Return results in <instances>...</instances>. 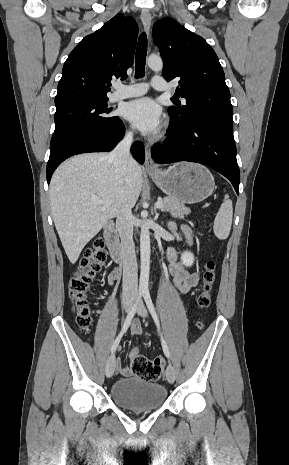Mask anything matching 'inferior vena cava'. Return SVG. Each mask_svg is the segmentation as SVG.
I'll return each instance as SVG.
<instances>
[{"instance_id": "602c4592", "label": "inferior vena cava", "mask_w": 289, "mask_h": 465, "mask_svg": "<svg viewBox=\"0 0 289 465\" xmlns=\"http://www.w3.org/2000/svg\"><path fill=\"white\" fill-rule=\"evenodd\" d=\"M133 142V133L127 132L109 155V160L116 171L124 172L130 161V147ZM116 228L121 239V252L123 263V300H134L138 294V275L135 246L133 242V215L131 207L123 205L116 218Z\"/></svg>"}]
</instances>
